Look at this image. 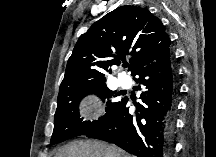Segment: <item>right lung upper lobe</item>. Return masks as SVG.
<instances>
[{"instance_id":"obj_1","label":"right lung upper lobe","mask_w":216,"mask_h":157,"mask_svg":"<svg viewBox=\"0 0 216 157\" xmlns=\"http://www.w3.org/2000/svg\"><path fill=\"white\" fill-rule=\"evenodd\" d=\"M170 38L162 22L149 10L133 5L116 8L80 36L68 59L58 98L106 87L101 69L119 65L130 55L134 76L169 50Z\"/></svg>"}]
</instances>
